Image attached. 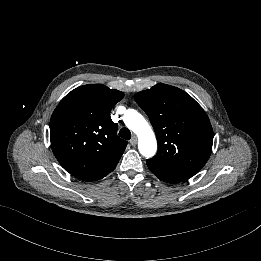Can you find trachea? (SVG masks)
<instances>
[{"instance_id":"obj_1","label":"trachea","mask_w":261,"mask_h":261,"mask_svg":"<svg viewBox=\"0 0 261 261\" xmlns=\"http://www.w3.org/2000/svg\"><path fill=\"white\" fill-rule=\"evenodd\" d=\"M119 136H120V138H122L123 140H127V141H129V140L132 138V134H131L130 130L127 129V128H122V129L119 131Z\"/></svg>"}]
</instances>
